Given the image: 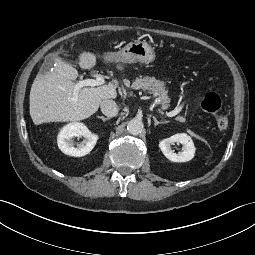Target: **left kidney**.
Segmentation results:
<instances>
[{
    "label": "left kidney",
    "mask_w": 255,
    "mask_h": 255,
    "mask_svg": "<svg viewBox=\"0 0 255 255\" xmlns=\"http://www.w3.org/2000/svg\"><path fill=\"white\" fill-rule=\"evenodd\" d=\"M180 143L182 151L175 153L171 149V145ZM162 153L172 162H187L193 159L195 154V146L190 136L185 133H178L159 142Z\"/></svg>",
    "instance_id": "left-kidney-1"
}]
</instances>
